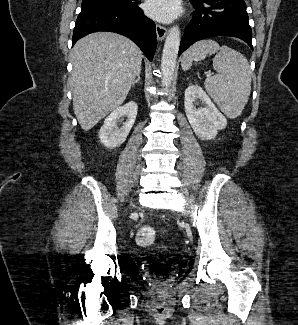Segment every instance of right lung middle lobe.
Here are the masks:
<instances>
[{
	"instance_id": "1",
	"label": "right lung middle lobe",
	"mask_w": 298,
	"mask_h": 325,
	"mask_svg": "<svg viewBox=\"0 0 298 325\" xmlns=\"http://www.w3.org/2000/svg\"><path fill=\"white\" fill-rule=\"evenodd\" d=\"M134 4L129 0H83L81 11L100 10V9H120L130 8Z\"/></svg>"
}]
</instances>
